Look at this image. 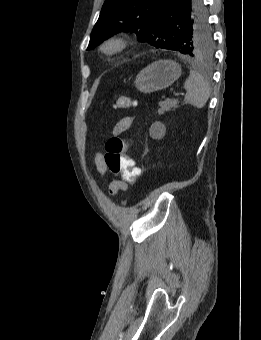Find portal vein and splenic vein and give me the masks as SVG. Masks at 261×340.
Here are the masks:
<instances>
[{"instance_id":"1","label":"portal vein and splenic vein","mask_w":261,"mask_h":340,"mask_svg":"<svg viewBox=\"0 0 261 340\" xmlns=\"http://www.w3.org/2000/svg\"><path fill=\"white\" fill-rule=\"evenodd\" d=\"M181 95H183V93H181V92L174 93V96H176V97H179Z\"/></svg>"}]
</instances>
